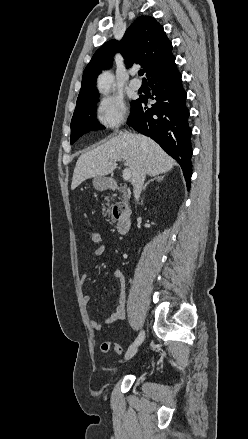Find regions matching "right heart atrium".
Returning <instances> with one entry per match:
<instances>
[{"mask_svg":"<svg viewBox=\"0 0 248 439\" xmlns=\"http://www.w3.org/2000/svg\"><path fill=\"white\" fill-rule=\"evenodd\" d=\"M127 118L124 101L116 96H108L99 101L95 110V119L105 129H115Z\"/></svg>","mask_w":248,"mask_h":439,"instance_id":"obj_1","label":"right heart atrium"}]
</instances>
